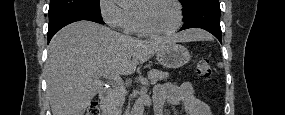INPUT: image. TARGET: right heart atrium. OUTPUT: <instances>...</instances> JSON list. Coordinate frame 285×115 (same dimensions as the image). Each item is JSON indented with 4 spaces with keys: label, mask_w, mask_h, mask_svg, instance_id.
<instances>
[{
    "label": "right heart atrium",
    "mask_w": 285,
    "mask_h": 115,
    "mask_svg": "<svg viewBox=\"0 0 285 115\" xmlns=\"http://www.w3.org/2000/svg\"><path fill=\"white\" fill-rule=\"evenodd\" d=\"M100 11L104 21L111 27L132 31L133 15L115 0H102Z\"/></svg>",
    "instance_id": "d8ad5b80"
}]
</instances>
